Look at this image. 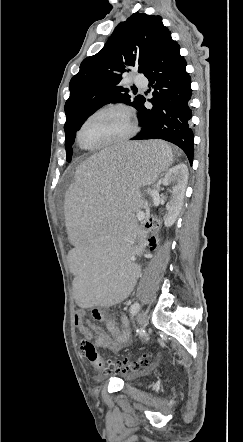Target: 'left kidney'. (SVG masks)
<instances>
[{
	"label": "left kidney",
	"instance_id": "obj_1",
	"mask_svg": "<svg viewBox=\"0 0 243 442\" xmlns=\"http://www.w3.org/2000/svg\"><path fill=\"white\" fill-rule=\"evenodd\" d=\"M187 181L188 168L183 163L169 169L165 178L163 179L162 183L164 186H169L172 183H176V185L172 188L171 200L166 204V214L164 216V225L166 227L172 226L179 216L183 205Z\"/></svg>",
	"mask_w": 243,
	"mask_h": 442
}]
</instances>
